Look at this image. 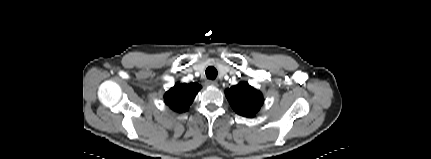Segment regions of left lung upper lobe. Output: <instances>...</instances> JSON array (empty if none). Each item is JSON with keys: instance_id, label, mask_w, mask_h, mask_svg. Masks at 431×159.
<instances>
[{"instance_id": "obj_1", "label": "left lung upper lobe", "mask_w": 431, "mask_h": 159, "mask_svg": "<svg viewBox=\"0 0 431 159\" xmlns=\"http://www.w3.org/2000/svg\"><path fill=\"white\" fill-rule=\"evenodd\" d=\"M226 96L234 111L242 116H253L263 104L262 94L242 82L226 91Z\"/></svg>"}]
</instances>
